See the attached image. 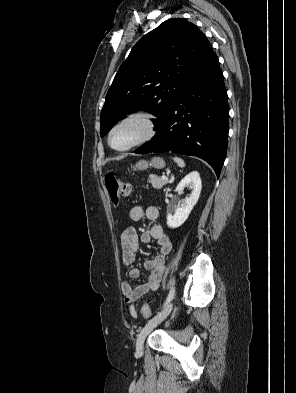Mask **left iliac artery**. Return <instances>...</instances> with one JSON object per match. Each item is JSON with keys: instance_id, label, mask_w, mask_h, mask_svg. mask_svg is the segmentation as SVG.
<instances>
[{"instance_id": "1", "label": "left iliac artery", "mask_w": 296, "mask_h": 393, "mask_svg": "<svg viewBox=\"0 0 296 393\" xmlns=\"http://www.w3.org/2000/svg\"><path fill=\"white\" fill-rule=\"evenodd\" d=\"M174 296H175V287L172 285L163 307H165L174 298Z\"/></svg>"}]
</instances>
